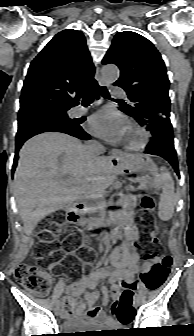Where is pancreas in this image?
I'll return each mask as SVG.
<instances>
[{
    "label": "pancreas",
    "mask_w": 194,
    "mask_h": 336,
    "mask_svg": "<svg viewBox=\"0 0 194 336\" xmlns=\"http://www.w3.org/2000/svg\"><path fill=\"white\" fill-rule=\"evenodd\" d=\"M128 195H122V198L120 200H117L115 202L116 206H112V209H116L118 211L125 212L132 211L134 209V206H136V196H133L135 194L139 193V190L136 189L134 186H130L128 188ZM103 207H106L105 203H102ZM104 209H100V212H97V215H100V213L104 214ZM96 224L98 226H101L103 224V215H100V219L96 221Z\"/></svg>",
    "instance_id": "cf45deb5"
}]
</instances>
